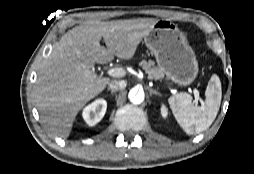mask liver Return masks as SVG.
<instances>
[{"label":"liver","instance_id":"obj_1","mask_svg":"<svg viewBox=\"0 0 254 174\" xmlns=\"http://www.w3.org/2000/svg\"><path fill=\"white\" fill-rule=\"evenodd\" d=\"M157 21H91L62 36L43 62L35 87L36 107L53 134L68 137L78 112L112 81L97 75L94 64L108 63L114 56L131 59Z\"/></svg>","mask_w":254,"mask_h":174}]
</instances>
